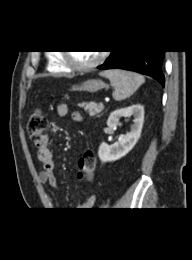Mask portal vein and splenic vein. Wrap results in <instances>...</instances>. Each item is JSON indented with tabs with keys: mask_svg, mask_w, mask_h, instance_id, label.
I'll return each instance as SVG.
<instances>
[{
	"mask_svg": "<svg viewBox=\"0 0 192 260\" xmlns=\"http://www.w3.org/2000/svg\"><path fill=\"white\" fill-rule=\"evenodd\" d=\"M100 107H104V104L102 102L99 103Z\"/></svg>",
	"mask_w": 192,
	"mask_h": 260,
	"instance_id": "portal-vein-and-splenic-vein-1",
	"label": "portal vein and splenic vein"
}]
</instances>
